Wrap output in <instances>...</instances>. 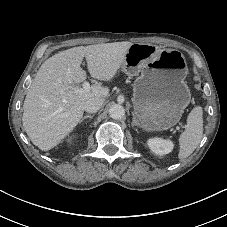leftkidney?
I'll return each mask as SVG.
<instances>
[{
	"label": "left kidney",
	"instance_id": "left-kidney-1",
	"mask_svg": "<svg viewBox=\"0 0 227 227\" xmlns=\"http://www.w3.org/2000/svg\"><path fill=\"white\" fill-rule=\"evenodd\" d=\"M148 146L157 155H165L173 150V143L170 140L153 138L148 140Z\"/></svg>",
	"mask_w": 227,
	"mask_h": 227
}]
</instances>
